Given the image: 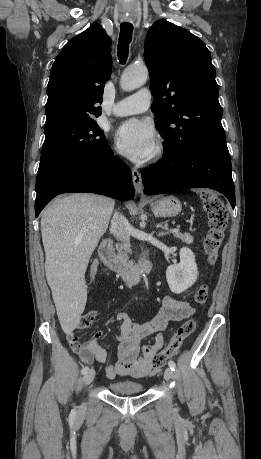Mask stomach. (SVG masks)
Returning <instances> with one entry per match:
<instances>
[{
  "mask_svg": "<svg viewBox=\"0 0 261 459\" xmlns=\"http://www.w3.org/2000/svg\"><path fill=\"white\" fill-rule=\"evenodd\" d=\"M153 213L159 217H174L181 212V203L174 196L159 198L151 203Z\"/></svg>",
  "mask_w": 261,
  "mask_h": 459,
  "instance_id": "1",
  "label": "stomach"
}]
</instances>
